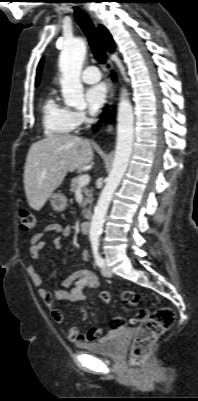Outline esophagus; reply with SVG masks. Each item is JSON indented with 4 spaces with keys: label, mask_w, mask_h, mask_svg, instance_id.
<instances>
[{
    "label": "esophagus",
    "mask_w": 198,
    "mask_h": 401,
    "mask_svg": "<svg viewBox=\"0 0 198 401\" xmlns=\"http://www.w3.org/2000/svg\"><path fill=\"white\" fill-rule=\"evenodd\" d=\"M114 66L111 60H107L106 63V71H107V76H108V85H109V101H108V109H112L113 101H114V96H115V90H114V85L111 79V74ZM113 131V126L110 125L108 128V132L111 133Z\"/></svg>",
    "instance_id": "esophagus-1"
}]
</instances>
